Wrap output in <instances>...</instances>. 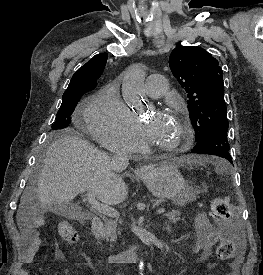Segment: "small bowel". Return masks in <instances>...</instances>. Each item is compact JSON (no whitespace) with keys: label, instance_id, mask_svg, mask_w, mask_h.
Here are the masks:
<instances>
[{"label":"small bowel","instance_id":"c3829d8e","mask_svg":"<svg viewBox=\"0 0 263 275\" xmlns=\"http://www.w3.org/2000/svg\"><path fill=\"white\" fill-rule=\"evenodd\" d=\"M194 234L195 251H201L203 259L210 258L212 255L214 238L217 235V229L204 213H199L195 218ZM29 235L31 243L23 260L26 264L32 262L39 243V237L36 232L30 230ZM19 275H29V273L25 269H21ZM229 275H236V267L233 268V272Z\"/></svg>","mask_w":263,"mask_h":275}]
</instances>
